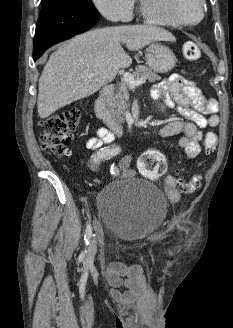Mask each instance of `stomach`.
I'll list each match as a JSON object with an SVG mask.
<instances>
[{
  "label": "stomach",
  "instance_id": "0dacf381",
  "mask_svg": "<svg viewBox=\"0 0 233 328\" xmlns=\"http://www.w3.org/2000/svg\"><path fill=\"white\" fill-rule=\"evenodd\" d=\"M145 57L148 66L158 73L172 70L177 62L173 51L159 42H153L148 46Z\"/></svg>",
  "mask_w": 233,
  "mask_h": 328
}]
</instances>
